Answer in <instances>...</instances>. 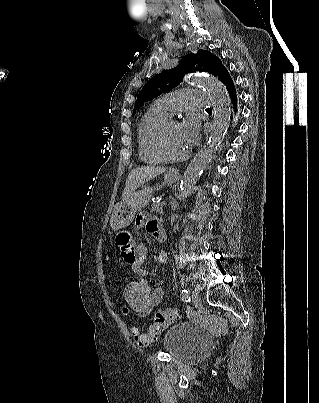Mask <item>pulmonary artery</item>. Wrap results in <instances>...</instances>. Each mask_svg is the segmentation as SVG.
<instances>
[{"mask_svg":"<svg viewBox=\"0 0 319 403\" xmlns=\"http://www.w3.org/2000/svg\"><path fill=\"white\" fill-rule=\"evenodd\" d=\"M159 109L173 115L190 107L206 108L210 105L209 94L196 89H180L166 94L154 103Z\"/></svg>","mask_w":319,"mask_h":403,"instance_id":"pulmonary-artery-1","label":"pulmonary artery"}]
</instances>
